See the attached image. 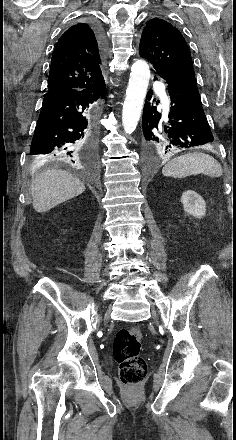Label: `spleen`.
<instances>
[{
    "mask_svg": "<svg viewBox=\"0 0 236 440\" xmlns=\"http://www.w3.org/2000/svg\"><path fill=\"white\" fill-rule=\"evenodd\" d=\"M201 173L211 177H220L223 174V170L220 163L214 157L200 152L176 157L169 161L162 169L164 176L173 178H184Z\"/></svg>",
    "mask_w": 236,
    "mask_h": 440,
    "instance_id": "spleen-1",
    "label": "spleen"
}]
</instances>
